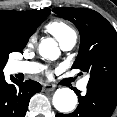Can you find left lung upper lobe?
Listing matches in <instances>:
<instances>
[{
    "label": "left lung upper lobe",
    "instance_id": "1",
    "mask_svg": "<svg viewBox=\"0 0 117 117\" xmlns=\"http://www.w3.org/2000/svg\"><path fill=\"white\" fill-rule=\"evenodd\" d=\"M71 21L80 33V48L74 69L90 73L89 87L117 90V32L98 12L87 8H54Z\"/></svg>",
    "mask_w": 117,
    "mask_h": 117
}]
</instances>
